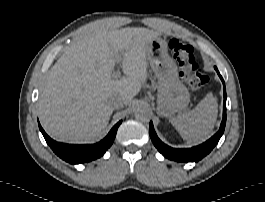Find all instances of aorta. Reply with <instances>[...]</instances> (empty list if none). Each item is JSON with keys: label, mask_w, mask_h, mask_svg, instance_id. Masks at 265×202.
I'll return each instance as SVG.
<instances>
[{"label": "aorta", "mask_w": 265, "mask_h": 202, "mask_svg": "<svg viewBox=\"0 0 265 202\" xmlns=\"http://www.w3.org/2000/svg\"><path fill=\"white\" fill-rule=\"evenodd\" d=\"M134 116L137 120L147 122L150 120V111L146 105H138L134 111Z\"/></svg>", "instance_id": "aorta-1"}]
</instances>
